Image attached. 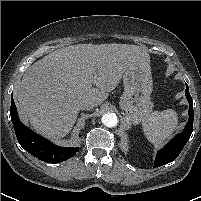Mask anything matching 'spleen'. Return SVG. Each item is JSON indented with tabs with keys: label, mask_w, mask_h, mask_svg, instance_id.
Returning a JSON list of instances; mask_svg holds the SVG:
<instances>
[{
	"label": "spleen",
	"mask_w": 201,
	"mask_h": 201,
	"mask_svg": "<svg viewBox=\"0 0 201 201\" xmlns=\"http://www.w3.org/2000/svg\"><path fill=\"white\" fill-rule=\"evenodd\" d=\"M178 124L176 111L167 109L154 111L143 120V130L147 139L155 145L161 144L175 131Z\"/></svg>",
	"instance_id": "1"
}]
</instances>
